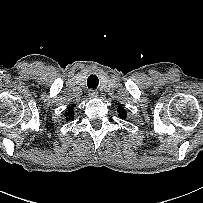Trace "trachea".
Here are the masks:
<instances>
[{
	"mask_svg": "<svg viewBox=\"0 0 203 203\" xmlns=\"http://www.w3.org/2000/svg\"><path fill=\"white\" fill-rule=\"evenodd\" d=\"M99 80L96 75H90L87 79V85L89 88L95 89L98 86Z\"/></svg>",
	"mask_w": 203,
	"mask_h": 203,
	"instance_id": "3493384b",
	"label": "trachea"
}]
</instances>
